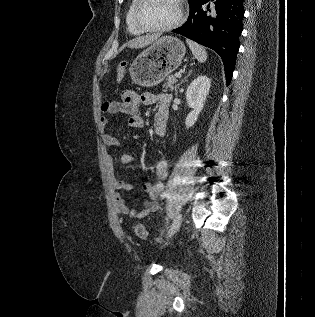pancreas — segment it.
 I'll return each instance as SVG.
<instances>
[{
    "label": "pancreas",
    "instance_id": "1",
    "mask_svg": "<svg viewBox=\"0 0 315 317\" xmlns=\"http://www.w3.org/2000/svg\"><path fill=\"white\" fill-rule=\"evenodd\" d=\"M176 78L174 76H168L166 82L163 84V88L165 91H172L174 88L176 89Z\"/></svg>",
    "mask_w": 315,
    "mask_h": 317
}]
</instances>
